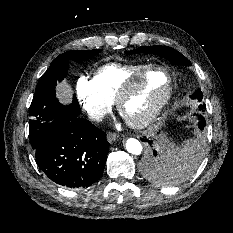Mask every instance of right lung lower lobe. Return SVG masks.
Masks as SVG:
<instances>
[{"instance_id": "1", "label": "right lung lower lobe", "mask_w": 233, "mask_h": 233, "mask_svg": "<svg viewBox=\"0 0 233 233\" xmlns=\"http://www.w3.org/2000/svg\"><path fill=\"white\" fill-rule=\"evenodd\" d=\"M78 113L58 115L36 150L39 168L49 179L69 188H87L99 180L109 147L106 134Z\"/></svg>"}]
</instances>
